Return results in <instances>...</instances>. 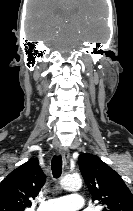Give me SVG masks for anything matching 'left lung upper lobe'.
Segmentation results:
<instances>
[{"instance_id":"obj_1","label":"left lung upper lobe","mask_w":133,"mask_h":211,"mask_svg":"<svg viewBox=\"0 0 133 211\" xmlns=\"http://www.w3.org/2000/svg\"><path fill=\"white\" fill-rule=\"evenodd\" d=\"M78 160L92 199L103 211H133V195L116 171L93 154H81Z\"/></svg>"}]
</instances>
